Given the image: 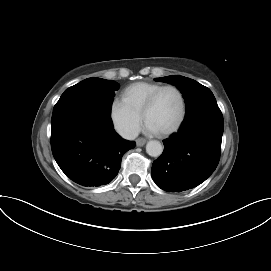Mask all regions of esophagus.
I'll return each instance as SVG.
<instances>
[{
  "label": "esophagus",
  "instance_id": "obj_1",
  "mask_svg": "<svg viewBox=\"0 0 271 271\" xmlns=\"http://www.w3.org/2000/svg\"><path fill=\"white\" fill-rule=\"evenodd\" d=\"M146 143V139H144V138H138L137 140H136V145L137 146H143L144 144Z\"/></svg>",
  "mask_w": 271,
  "mask_h": 271
}]
</instances>
